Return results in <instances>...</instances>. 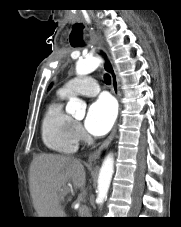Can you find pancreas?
<instances>
[{
    "mask_svg": "<svg viewBox=\"0 0 181 227\" xmlns=\"http://www.w3.org/2000/svg\"><path fill=\"white\" fill-rule=\"evenodd\" d=\"M78 214H79V215H78L79 217H86V215H85L86 212H82L80 208H79Z\"/></svg>",
    "mask_w": 181,
    "mask_h": 227,
    "instance_id": "pancreas-1",
    "label": "pancreas"
}]
</instances>
